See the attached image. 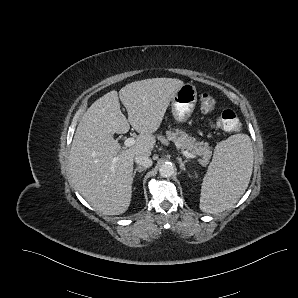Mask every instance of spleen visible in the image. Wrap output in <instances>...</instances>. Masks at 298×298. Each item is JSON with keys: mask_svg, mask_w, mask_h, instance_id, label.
I'll return each instance as SVG.
<instances>
[{"mask_svg": "<svg viewBox=\"0 0 298 298\" xmlns=\"http://www.w3.org/2000/svg\"><path fill=\"white\" fill-rule=\"evenodd\" d=\"M254 151L247 135H233L217 143L203 179L200 209L220 213L243 195L253 170Z\"/></svg>", "mask_w": 298, "mask_h": 298, "instance_id": "spleen-1", "label": "spleen"}]
</instances>
